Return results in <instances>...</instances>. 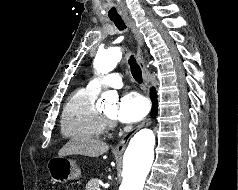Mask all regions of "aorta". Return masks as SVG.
<instances>
[{"mask_svg":"<svg viewBox=\"0 0 238 190\" xmlns=\"http://www.w3.org/2000/svg\"><path fill=\"white\" fill-rule=\"evenodd\" d=\"M122 58L121 49L111 47L101 50L94 59L98 73L112 71ZM107 103H114L118 95L112 91L102 94ZM155 136L150 129H141L129 142L123 158V181L119 190H143L146 177L154 158Z\"/></svg>","mask_w":238,"mask_h":190,"instance_id":"aorta-1","label":"aorta"}]
</instances>
